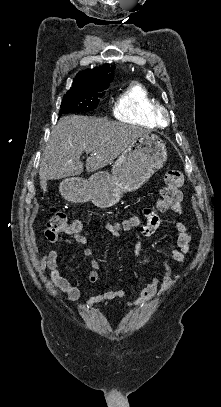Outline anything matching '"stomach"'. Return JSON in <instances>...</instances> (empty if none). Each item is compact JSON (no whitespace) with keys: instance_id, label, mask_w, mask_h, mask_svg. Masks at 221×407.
Segmentation results:
<instances>
[{"instance_id":"stomach-1","label":"stomach","mask_w":221,"mask_h":407,"mask_svg":"<svg viewBox=\"0 0 221 407\" xmlns=\"http://www.w3.org/2000/svg\"><path fill=\"white\" fill-rule=\"evenodd\" d=\"M167 160L165 142L152 133L135 139L115 161L112 173L99 171L88 180L71 177L62 181L61 194L72 203L91 201L105 209L115 205L123 193L139 189Z\"/></svg>"}]
</instances>
